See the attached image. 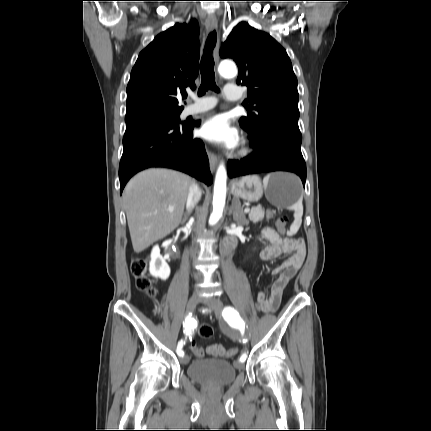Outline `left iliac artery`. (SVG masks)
Wrapping results in <instances>:
<instances>
[{"label":"left iliac artery","mask_w":431,"mask_h":431,"mask_svg":"<svg viewBox=\"0 0 431 431\" xmlns=\"http://www.w3.org/2000/svg\"><path fill=\"white\" fill-rule=\"evenodd\" d=\"M222 315L229 324L236 326L243 331L245 322L241 319L239 313L233 307L228 306L224 308ZM246 358V353H243L240 357V361L245 362Z\"/></svg>","instance_id":"left-iliac-artery-1"}]
</instances>
